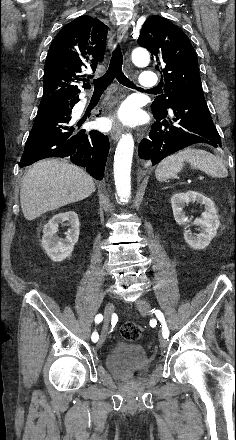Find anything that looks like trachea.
Returning <instances> with one entry per match:
<instances>
[{
	"instance_id": "trachea-1",
	"label": "trachea",
	"mask_w": 236,
	"mask_h": 440,
	"mask_svg": "<svg viewBox=\"0 0 236 440\" xmlns=\"http://www.w3.org/2000/svg\"><path fill=\"white\" fill-rule=\"evenodd\" d=\"M123 55L118 45L113 53L106 73L98 79L93 80L94 91H104L116 78L118 82L126 87L135 88V84L131 82L122 71Z\"/></svg>"
}]
</instances>
